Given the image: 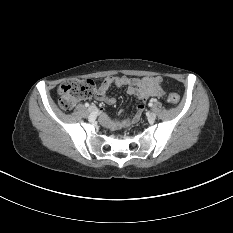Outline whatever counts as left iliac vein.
I'll return each mask as SVG.
<instances>
[{
  "mask_svg": "<svg viewBox=\"0 0 233 233\" xmlns=\"http://www.w3.org/2000/svg\"><path fill=\"white\" fill-rule=\"evenodd\" d=\"M149 121H154L156 119V114L154 112H150L147 115Z\"/></svg>",
  "mask_w": 233,
  "mask_h": 233,
  "instance_id": "left-iliac-vein-1",
  "label": "left iliac vein"
}]
</instances>
